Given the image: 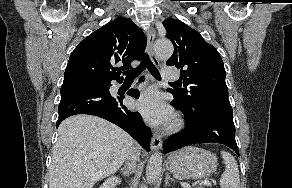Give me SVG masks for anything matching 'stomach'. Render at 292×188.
Returning a JSON list of instances; mask_svg holds the SVG:
<instances>
[{
	"mask_svg": "<svg viewBox=\"0 0 292 188\" xmlns=\"http://www.w3.org/2000/svg\"><path fill=\"white\" fill-rule=\"evenodd\" d=\"M217 157L198 147H185L173 152L167 159V169L185 179H201L217 169Z\"/></svg>",
	"mask_w": 292,
	"mask_h": 188,
	"instance_id": "1",
	"label": "stomach"
}]
</instances>
